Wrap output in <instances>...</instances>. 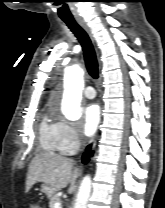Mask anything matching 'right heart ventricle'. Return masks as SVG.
<instances>
[{
	"label": "right heart ventricle",
	"instance_id": "1",
	"mask_svg": "<svg viewBox=\"0 0 165 208\" xmlns=\"http://www.w3.org/2000/svg\"><path fill=\"white\" fill-rule=\"evenodd\" d=\"M40 140L42 146L51 152H59V147L55 138V125L45 116L40 124Z\"/></svg>",
	"mask_w": 165,
	"mask_h": 208
}]
</instances>
